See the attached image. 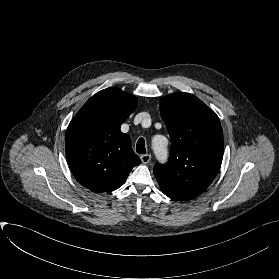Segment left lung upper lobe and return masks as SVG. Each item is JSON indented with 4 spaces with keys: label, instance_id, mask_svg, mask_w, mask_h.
<instances>
[{
    "label": "left lung upper lobe",
    "instance_id": "obj_1",
    "mask_svg": "<svg viewBox=\"0 0 279 279\" xmlns=\"http://www.w3.org/2000/svg\"><path fill=\"white\" fill-rule=\"evenodd\" d=\"M161 117L171 139L168 164H156L154 175L163 191L193 198L204 192L220 170L223 132L218 116L189 93L160 101Z\"/></svg>",
    "mask_w": 279,
    "mask_h": 279
}]
</instances>
